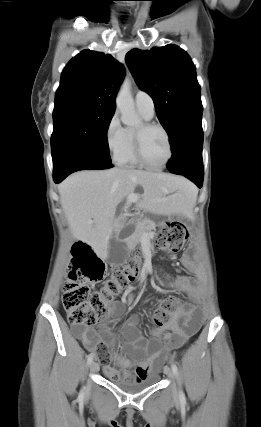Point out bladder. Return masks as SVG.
<instances>
[{
  "mask_svg": "<svg viewBox=\"0 0 261 427\" xmlns=\"http://www.w3.org/2000/svg\"><path fill=\"white\" fill-rule=\"evenodd\" d=\"M158 379L159 375L154 373L142 379L124 377L112 378V383L125 392L135 393L153 386L157 383Z\"/></svg>",
  "mask_w": 261,
  "mask_h": 427,
  "instance_id": "1",
  "label": "bladder"
}]
</instances>
